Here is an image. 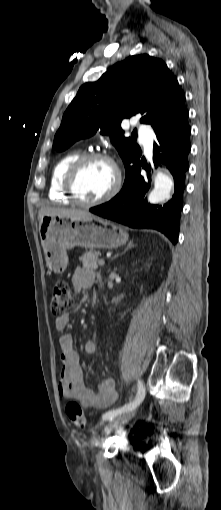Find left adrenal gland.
I'll return each instance as SVG.
<instances>
[{
    "mask_svg": "<svg viewBox=\"0 0 221 510\" xmlns=\"http://www.w3.org/2000/svg\"><path fill=\"white\" fill-rule=\"evenodd\" d=\"M132 247H134L133 241H129V243H128V245H127L126 249H125V250H124V251H123L120 255H122V254L126 253V252H127L129 249H131ZM118 256H119V255H116L114 258H116V257H118Z\"/></svg>",
    "mask_w": 221,
    "mask_h": 510,
    "instance_id": "left-adrenal-gland-1",
    "label": "left adrenal gland"
}]
</instances>
